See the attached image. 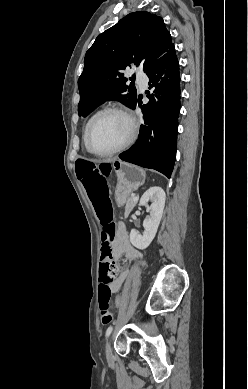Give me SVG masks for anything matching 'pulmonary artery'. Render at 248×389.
Returning a JSON list of instances; mask_svg holds the SVG:
<instances>
[{"instance_id":"1","label":"pulmonary artery","mask_w":248,"mask_h":389,"mask_svg":"<svg viewBox=\"0 0 248 389\" xmlns=\"http://www.w3.org/2000/svg\"><path fill=\"white\" fill-rule=\"evenodd\" d=\"M137 83L141 86L142 89H144L148 84V77L146 75H137L136 76Z\"/></svg>"}]
</instances>
